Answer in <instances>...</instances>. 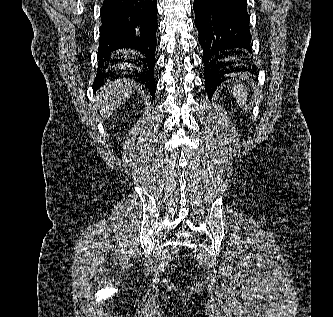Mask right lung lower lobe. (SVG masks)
Instances as JSON below:
<instances>
[{"instance_id": "1", "label": "right lung lower lobe", "mask_w": 333, "mask_h": 317, "mask_svg": "<svg viewBox=\"0 0 333 317\" xmlns=\"http://www.w3.org/2000/svg\"><path fill=\"white\" fill-rule=\"evenodd\" d=\"M156 0H104L101 8L102 24L99 43V73L93 83L96 91L103 86L111 74L105 72L107 57L117 49L131 48L145 55L143 72L137 81L147 87L155 97L154 51L157 46Z\"/></svg>"}]
</instances>
